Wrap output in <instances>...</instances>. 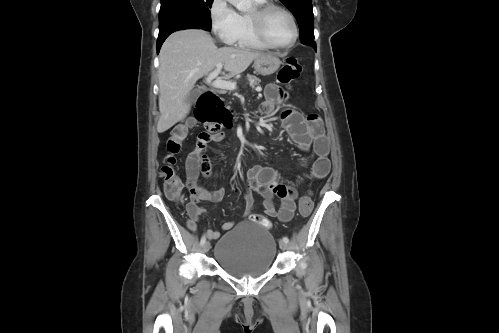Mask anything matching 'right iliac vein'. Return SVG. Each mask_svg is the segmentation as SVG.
Instances as JSON below:
<instances>
[{
    "mask_svg": "<svg viewBox=\"0 0 499 333\" xmlns=\"http://www.w3.org/2000/svg\"><path fill=\"white\" fill-rule=\"evenodd\" d=\"M210 247H211L210 243L208 241L205 242L203 245V252L207 253L210 250Z\"/></svg>",
    "mask_w": 499,
    "mask_h": 333,
    "instance_id": "1",
    "label": "right iliac vein"
}]
</instances>
